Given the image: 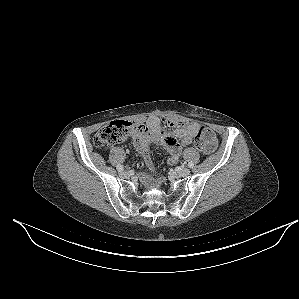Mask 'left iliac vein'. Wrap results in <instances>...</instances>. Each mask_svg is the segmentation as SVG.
Masks as SVG:
<instances>
[{"label":"left iliac vein","instance_id":"left-iliac-vein-1","mask_svg":"<svg viewBox=\"0 0 299 299\" xmlns=\"http://www.w3.org/2000/svg\"><path fill=\"white\" fill-rule=\"evenodd\" d=\"M177 173L181 177H186V176H188L190 174V170L188 168H182V169L178 170Z\"/></svg>","mask_w":299,"mask_h":299}]
</instances>
